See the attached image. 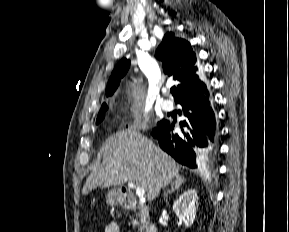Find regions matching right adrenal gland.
<instances>
[{
	"mask_svg": "<svg viewBox=\"0 0 289 232\" xmlns=\"http://www.w3.org/2000/svg\"><path fill=\"white\" fill-rule=\"evenodd\" d=\"M185 178L182 176H177L176 180L171 184V190H167V192L164 193V197H167L168 194L173 193L174 191L178 190L179 187L185 182Z\"/></svg>",
	"mask_w": 289,
	"mask_h": 232,
	"instance_id": "obj_1",
	"label": "right adrenal gland"
}]
</instances>
